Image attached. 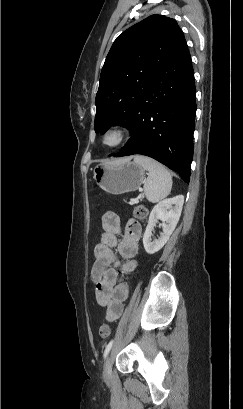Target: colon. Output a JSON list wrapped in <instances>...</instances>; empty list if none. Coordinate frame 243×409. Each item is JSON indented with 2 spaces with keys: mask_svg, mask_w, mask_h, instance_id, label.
<instances>
[{
  "mask_svg": "<svg viewBox=\"0 0 243 409\" xmlns=\"http://www.w3.org/2000/svg\"><path fill=\"white\" fill-rule=\"evenodd\" d=\"M133 215H134L135 218H137L139 220H143L148 215V209L143 204L136 205L133 208ZM109 335H110L109 325L107 323L101 324L100 327H99V336L102 339H106V338L109 337Z\"/></svg>",
  "mask_w": 243,
  "mask_h": 409,
  "instance_id": "5ec220e1",
  "label": "colon"
}]
</instances>
